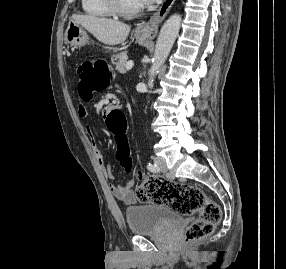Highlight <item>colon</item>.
Here are the masks:
<instances>
[{
    "mask_svg": "<svg viewBox=\"0 0 286 269\" xmlns=\"http://www.w3.org/2000/svg\"><path fill=\"white\" fill-rule=\"evenodd\" d=\"M99 58L98 54L94 55ZM78 90L82 97L91 98L96 92L104 89L111 80L106 63L102 60L84 61L77 69ZM128 111L123 108H111V116H107L110 134L115 137L114 155H117L121 166L130 171L138 168L132 163V142H129L127 125ZM135 193L142 202L165 205L182 215L199 213V218L188 226L185 242L191 243L210 235L221 219L219 205L208 198L204 191L194 185L176 183L159 176H149L141 171L134 175Z\"/></svg>",
    "mask_w": 286,
    "mask_h": 269,
    "instance_id": "5ec220e1",
    "label": "colon"
}]
</instances>
